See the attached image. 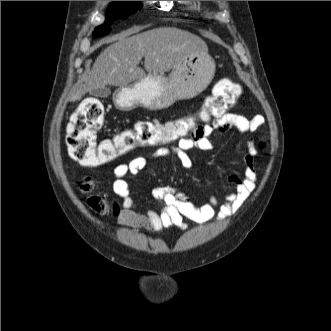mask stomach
I'll return each mask as SVG.
<instances>
[{
    "label": "stomach",
    "mask_w": 331,
    "mask_h": 331,
    "mask_svg": "<svg viewBox=\"0 0 331 331\" xmlns=\"http://www.w3.org/2000/svg\"><path fill=\"white\" fill-rule=\"evenodd\" d=\"M215 73V61L208 50L197 51L172 69L168 77L148 74L115 94V106L132 110L168 108L177 100L191 99L206 89Z\"/></svg>",
    "instance_id": "1"
}]
</instances>
